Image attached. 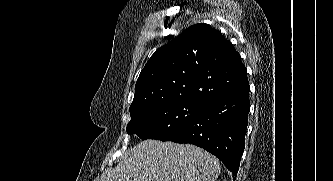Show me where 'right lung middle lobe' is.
<instances>
[{"mask_svg":"<svg viewBox=\"0 0 333 181\" xmlns=\"http://www.w3.org/2000/svg\"><path fill=\"white\" fill-rule=\"evenodd\" d=\"M202 105L191 101H170L143 107L130 112L127 133L136 134L142 140L168 141L194 120Z\"/></svg>","mask_w":333,"mask_h":181,"instance_id":"obj_1","label":"right lung middle lobe"}]
</instances>
